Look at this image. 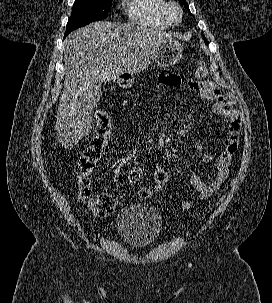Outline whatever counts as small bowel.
Wrapping results in <instances>:
<instances>
[{"mask_svg": "<svg viewBox=\"0 0 272 303\" xmlns=\"http://www.w3.org/2000/svg\"><path fill=\"white\" fill-rule=\"evenodd\" d=\"M159 81L165 86H177L183 82V77L170 71L162 72ZM189 86L196 91L200 98L212 100L213 111L224 119L223 131L225 133V146L223 151L216 158V172L211 182L207 183L196 173L191 172L189 180L194 189L199 194L200 201L208 199L217 192L223 182L226 180L230 161L236 153L239 135L241 130V119L237 110L233 107L232 100L225 95L220 87L210 81H190ZM195 149L204 162L212 160L210 154L204 152V146L201 141H196ZM143 172L138 167H133L128 172V181L136 183L142 178ZM193 208L192 203H184L182 211L186 212Z\"/></svg>", "mask_w": 272, "mask_h": 303, "instance_id": "1", "label": "small bowel"}]
</instances>
